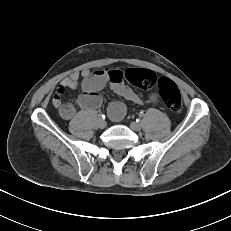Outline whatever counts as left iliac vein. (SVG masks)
Listing matches in <instances>:
<instances>
[{
  "label": "left iliac vein",
  "mask_w": 231,
  "mask_h": 231,
  "mask_svg": "<svg viewBox=\"0 0 231 231\" xmlns=\"http://www.w3.org/2000/svg\"><path fill=\"white\" fill-rule=\"evenodd\" d=\"M130 128L133 131H140L142 127H141L140 123L133 121V122L130 123Z\"/></svg>",
  "instance_id": "obj_1"
}]
</instances>
